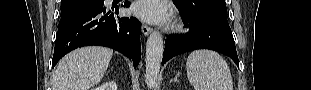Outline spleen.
<instances>
[{
	"label": "spleen",
	"instance_id": "obj_1",
	"mask_svg": "<svg viewBox=\"0 0 311 90\" xmlns=\"http://www.w3.org/2000/svg\"><path fill=\"white\" fill-rule=\"evenodd\" d=\"M186 68L194 90H233L228 64L214 51H193L187 58Z\"/></svg>",
	"mask_w": 311,
	"mask_h": 90
}]
</instances>
